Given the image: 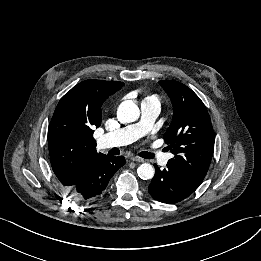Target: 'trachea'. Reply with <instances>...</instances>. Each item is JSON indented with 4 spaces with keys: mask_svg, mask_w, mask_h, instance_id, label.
<instances>
[{
    "mask_svg": "<svg viewBox=\"0 0 261 261\" xmlns=\"http://www.w3.org/2000/svg\"><path fill=\"white\" fill-rule=\"evenodd\" d=\"M139 156H141L142 158H145V159H152V158H154V154L153 153H149V152H141L139 154Z\"/></svg>",
    "mask_w": 261,
    "mask_h": 261,
    "instance_id": "3493384b",
    "label": "trachea"
}]
</instances>
